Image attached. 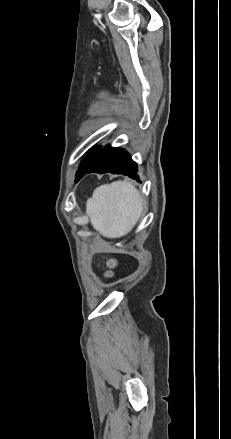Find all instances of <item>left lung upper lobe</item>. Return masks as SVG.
<instances>
[{"label": "left lung upper lobe", "instance_id": "1", "mask_svg": "<svg viewBox=\"0 0 231 439\" xmlns=\"http://www.w3.org/2000/svg\"><path fill=\"white\" fill-rule=\"evenodd\" d=\"M101 147H95L89 150L88 153L85 154V158L83 159V161L80 164L79 170L76 173V182L79 178V176L87 169L89 168L92 163L95 161L99 151H100Z\"/></svg>", "mask_w": 231, "mask_h": 439}]
</instances>
